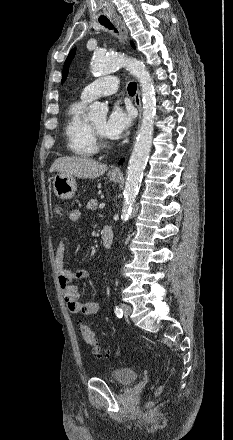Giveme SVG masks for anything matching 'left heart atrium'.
Instances as JSON below:
<instances>
[{
    "label": "left heart atrium",
    "mask_w": 233,
    "mask_h": 440,
    "mask_svg": "<svg viewBox=\"0 0 233 440\" xmlns=\"http://www.w3.org/2000/svg\"><path fill=\"white\" fill-rule=\"evenodd\" d=\"M132 122L131 112L119 105H114L105 124V134L109 138H121Z\"/></svg>",
    "instance_id": "obj_1"
}]
</instances>
